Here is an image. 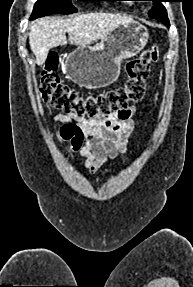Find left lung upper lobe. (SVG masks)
<instances>
[{
  "label": "left lung upper lobe",
  "mask_w": 193,
  "mask_h": 287,
  "mask_svg": "<svg viewBox=\"0 0 193 287\" xmlns=\"http://www.w3.org/2000/svg\"><path fill=\"white\" fill-rule=\"evenodd\" d=\"M150 1H153V7L148 12V15L151 18H155V19L161 21L166 26H169L167 11L162 4V2H164L165 0H150Z\"/></svg>",
  "instance_id": "5c2ea615"
}]
</instances>
